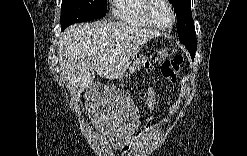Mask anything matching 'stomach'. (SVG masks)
<instances>
[{
  "instance_id": "stomach-1",
  "label": "stomach",
  "mask_w": 247,
  "mask_h": 156,
  "mask_svg": "<svg viewBox=\"0 0 247 156\" xmlns=\"http://www.w3.org/2000/svg\"><path fill=\"white\" fill-rule=\"evenodd\" d=\"M167 56H168V52H166V51H159L157 53V58L160 59V60L166 58ZM144 60H145L144 57H141V56L140 57H137L132 62V64L129 66V68H128L129 73L134 72L135 70H137L142 65V63L144 62ZM124 76H128V72H126L124 74Z\"/></svg>"
}]
</instances>
